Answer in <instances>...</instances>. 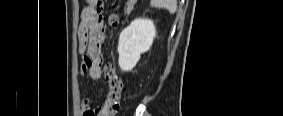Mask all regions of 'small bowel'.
<instances>
[{"mask_svg":"<svg viewBox=\"0 0 283 116\" xmlns=\"http://www.w3.org/2000/svg\"><path fill=\"white\" fill-rule=\"evenodd\" d=\"M102 3L100 0L88 1L81 13L78 27V50L82 54L80 74L88 75L92 80H98L102 75V44L105 39V26L102 18ZM84 116H107L104 105L94 108L90 100L82 104Z\"/></svg>","mask_w":283,"mask_h":116,"instance_id":"small-bowel-1","label":"small bowel"}]
</instances>
